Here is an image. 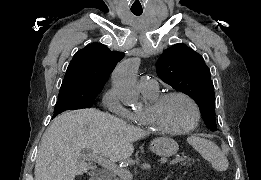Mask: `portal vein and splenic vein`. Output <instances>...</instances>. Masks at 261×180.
<instances>
[{"instance_id":"1","label":"portal vein and splenic vein","mask_w":261,"mask_h":180,"mask_svg":"<svg viewBox=\"0 0 261 180\" xmlns=\"http://www.w3.org/2000/svg\"><path fill=\"white\" fill-rule=\"evenodd\" d=\"M84 150H87L86 156H89V160L91 162H106V164H109V170H112L114 174H117L121 180H133V176L127 168H118L114 162H109V160H103L101 156H98V154H91L90 150L88 148H84ZM181 158H171V162H168V167H173V165H177L178 163H181Z\"/></svg>"}]
</instances>
